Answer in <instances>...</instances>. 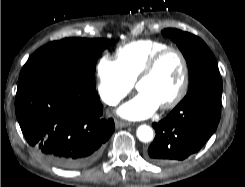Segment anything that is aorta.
<instances>
[{
	"instance_id": "aorta-1",
	"label": "aorta",
	"mask_w": 245,
	"mask_h": 187,
	"mask_svg": "<svg viewBox=\"0 0 245 187\" xmlns=\"http://www.w3.org/2000/svg\"><path fill=\"white\" fill-rule=\"evenodd\" d=\"M137 137L142 142H149L153 138V130L147 125H141L137 129Z\"/></svg>"
}]
</instances>
